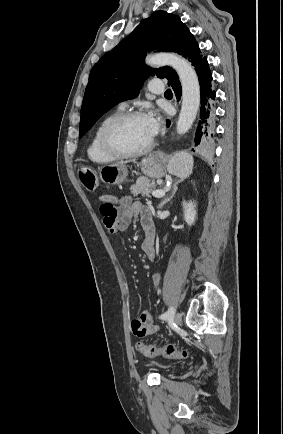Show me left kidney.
<instances>
[{
	"instance_id": "left-kidney-1",
	"label": "left kidney",
	"mask_w": 283,
	"mask_h": 434,
	"mask_svg": "<svg viewBox=\"0 0 283 434\" xmlns=\"http://www.w3.org/2000/svg\"><path fill=\"white\" fill-rule=\"evenodd\" d=\"M196 204L192 201L183 202V214L185 222L191 226L194 224L196 220Z\"/></svg>"
}]
</instances>
